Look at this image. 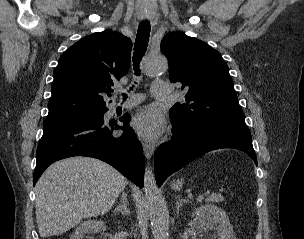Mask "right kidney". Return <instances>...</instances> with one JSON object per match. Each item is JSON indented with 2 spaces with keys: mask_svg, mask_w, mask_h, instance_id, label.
Returning <instances> with one entry per match:
<instances>
[{
  "mask_svg": "<svg viewBox=\"0 0 304 239\" xmlns=\"http://www.w3.org/2000/svg\"><path fill=\"white\" fill-rule=\"evenodd\" d=\"M106 225L105 222L97 219H89L83 223H81L75 230V232L71 235L70 239H82L86 233L90 231L100 232L105 230Z\"/></svg>",
  "mask_w": 304,
  "mask_h": 239,
  "instance_id": "obj_1",
  "label": "right kidney"
}]
</instances>
